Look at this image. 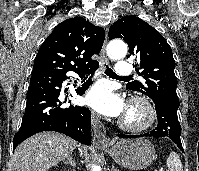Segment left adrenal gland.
Masks as SVG:
<instances>
[{
  "label": "left adrenal gland",
  "instance_id": "1",
  "mask_svg": "<svg viewBox=\"0 0 199 171\" xmlns=\"http://www.w3.org/2000/svg\"><path fill=\"white\" fill-rule=\"evenodd\" d=\"M111 171H119V170H117L116 167L114 166V164H112V169H111Z\"/></svg>",
  "mask_w": 199,
  "mask_h": 171
}]
</instances>
